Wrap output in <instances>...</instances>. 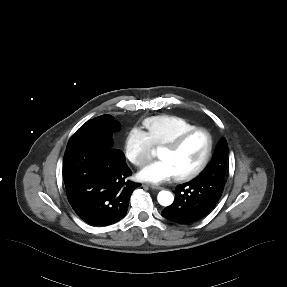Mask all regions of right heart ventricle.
Segmentation results:
<instances>
[{"label":"right heart ventricle","instance_id":"right-heart-ventricle-1","mask_svg":"<svg viewBox=\"0 0 287 287\" xmlns=\"http://www.w3.org/2000/svg\"><path fill=\"white\" fill-rule=\"evenodd\" d=\"M143 126L153 146H163L196 127L187 118L171 114L148 117Z\"/></svg>","mask_w":287,"mask_h":287}]
</instances>
